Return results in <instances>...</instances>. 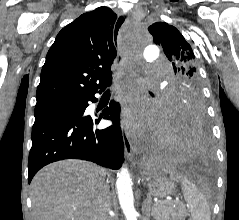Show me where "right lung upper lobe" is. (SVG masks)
Listing matches in <instances>:
<instances>
[{
  "label": "right lung upper lobe",
  "instance_id": "obj_1",
  "mask_svg": "<svg viewBox=\"0 0 239 220\" xmlns=\"http://www.w3.org/2000/svg\"><path fill=\"white\" fill-rule=\"evenodd\" d=\"M116 18L111 9L102 6L58 33L42 67L35 108L86 98L112 79Z\"/></svg>",
  "mask_w": 239,
  "mask_h": 220
}]
</instances>
